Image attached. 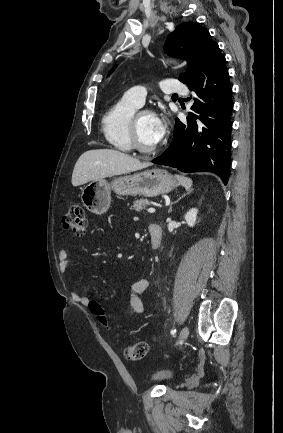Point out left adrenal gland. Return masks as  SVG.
I'll list each match as a JSON object with an SVG mask.
<instances>
[{
	"mask_svg": "<svg viewBox=\"0 0 283 433\" xmlns=\"http://www.w3.org/2000/svg\"><path fill=\"white\" fill-rule=\"evenodd\" d=\"M183 196H185V194H182V196H179V198H177V200H175V202H178V200H180V198H183ZM172 204H174V202H172ZM172 204H170V208H169L168 212H171Z\"/></svg>",
	"mask_w": 283,
	"mask_h": 433,
	"instance_id": "1",
	"label": "left adrenal gland"
}]
</instances>
